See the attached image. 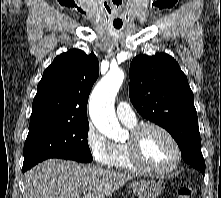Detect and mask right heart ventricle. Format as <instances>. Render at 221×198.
<instances>
[{
    "instance_id": "obj_1",
    "label": "right heart ventricle",
    "mask_w": 221,
    "mask_h": 198,
    "mask_svg": "<svg viewBox=\"0 0 221 198\" xmlns=\"http://www.w3.org/2000/svg\"><path fill=\"white\" fill-rule=\"evenodd\" d=\"M125 125L131 130L136 127V123L125 124ZM110 166L117 170H122V171H129V172L139 171L130 158L127 142H118L114 144L113 157Z\"/></svg>"
}]
</instances>
